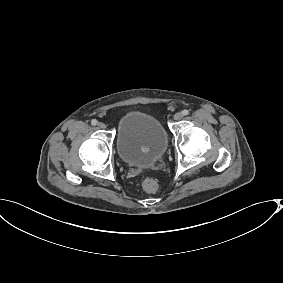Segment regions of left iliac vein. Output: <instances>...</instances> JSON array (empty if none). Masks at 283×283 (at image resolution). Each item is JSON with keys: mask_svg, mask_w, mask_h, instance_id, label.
Instances as JSON below:
<instances>
[{"mask_svg": "<svg viewBox=\"0 0 283 283\" xmlns=\"http://www.w3.org/2000/svg\"><path fill=\"white\" fill-rule=\"evenodd\" d=\"M183 118V114L181 112H177L174 115V120L179 121Z\"/></svg>", "mask_w": 283, "mask_h": 283, "instance_id": "1", "label": "left iliac vein"}]
</instances>
